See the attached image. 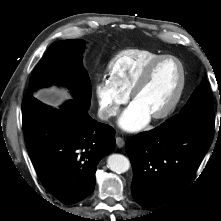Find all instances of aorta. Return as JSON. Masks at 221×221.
Here are the masks:
<instances>
[{"label": "aorta", "mask_w": 221, "mask_h": 221, "mask_svg": "<svg viewBox=\"0 0 221 221\" xmlns=\"http://www.w3.org/2000/svg\"><path fill=\"white\" fill-rule=\"evenodd\" d=\"M107 165L110 170L120 174L128 171L130 162L124 155L112 154L107 159Z\"/></svg>", "instance_id": "1"}]
</instances>
